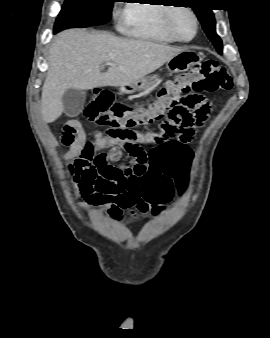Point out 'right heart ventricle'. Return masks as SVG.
<instances>
[{"label": "right heart ventricle", "mask_w": 270, "mask_h": 338, "mask_svg": "<svg viewBox=\"0 0 270 338\" xmlns=\"http://www.w3.org/2000/svg\"><path fill=\"white\" fill-rule=\"evenodd\" d=\"M163 2L150 4L133 3L127 6L123 20V27L128 35L160 43H172L175 40L165 29L166 13L173 6L156 5Z\"/></svg>", "instance_id": "right-heart-ventricle-1"}]
</instances>
